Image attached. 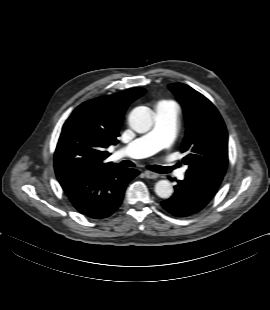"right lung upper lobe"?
Listing matches in <instances>:
<instances>
[{
  "label": "right lung upper lobe",
  "mask_w": 270,
  "mask_h": 310,
  "mask_svg": "<svg viewBox=\"0 0 270 310\" xmlns=\"http://www.w3.org/2000/svg\"><path fill=\"white\" fill-rule=\"evenodd\" d=\"M146 92L132 88L79 105L66 120L54 154L58 179L110 168L107 148L118 143L127 107Z\"/></svg>",
  "instance_id": "cb5924a9"
}]
</instances>
